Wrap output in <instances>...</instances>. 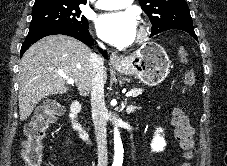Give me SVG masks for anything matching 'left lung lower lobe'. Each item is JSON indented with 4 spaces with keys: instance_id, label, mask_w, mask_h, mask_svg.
I'll list each match as a JSON object with an SVG mask.
<instances>
[{
    "instance_id": "1",
    "label": "left lung lower lobe",
    "mask_w": 227,
    "mask_h": 166,
    "mask_svg": "<svg viewBox=\"0 0 227 166\" xmlns=\"http://www.w3.org/2000/svg\"><path fill=\"white\" fill-rule=\"evenodd\" d=\"M183 31L188 32L195 40L198 41L197 36H196V34L194 32V29H187V30H183Z\"/></svg>"
}]
</instances>
